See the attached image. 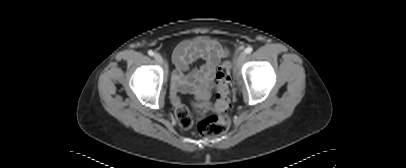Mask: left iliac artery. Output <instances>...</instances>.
Listing matches in <instances>:
<instances>
[{
    "label": "left iliac artery",
    "mask_w": 406,
    "mask_h": 168,
    "mask_svg": "<svg viewBox=\"0 0 406 168\" xmlns=\"http://www.w3.org/2000/svg\"><path fill=\"white\" fill-rule=\"evenodd\" d=\"M252 51H253V48H252L251 46H249V47H247V48L245 49V53H246V54H250Z\"/></svg>",
    "instance_id": "1"
}]
</instances>
